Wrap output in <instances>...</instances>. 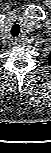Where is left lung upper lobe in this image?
Here are the masks:
<instances>
[{
    "mask_svg": "<svg viewBox=\"0 0 51 153\" xmlns=\"http://www.w3.org/2000/svg\"><path fill=\"white\" fill-rule=\"evenodd\" d=\"M48 60H49V64L51 65V52H50V54L48 55Z\"/></svg>",
    "mask_w": 51,
    "mask_h": 153,
    "instance_id": "left-lung-upper-lobe-1",
    "label": "left lung upper lobe"
}]
</instances>
